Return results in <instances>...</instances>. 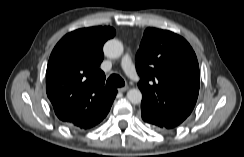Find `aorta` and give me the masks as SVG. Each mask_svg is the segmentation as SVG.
Wrapping results in <instances>:
<instances>
[{
    "label": "aorta",
    "instance_id": "762f6f07",
    "mask_svg": "<svg viewBox=\"0 0 244 157\" xmlns=\"http://www.w3.org/2000/svg\"><path fill=\"white\" fill-rule=\"evenodd\" d=\"M123 44L116 39L108 40L103 48L104 54L108 58H119L123 54ZM127 99L132 104H139L142 100V93L139 89H130L127 92Z\"/></svg>",
    "mask_w": 244,
    "mask_h": 157
}]
</instances>
